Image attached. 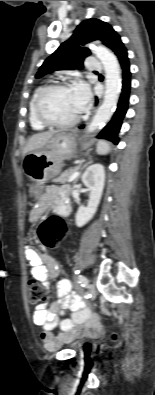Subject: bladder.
<instances>
[{
    "instance_id": "31cf9c89",
    "label": "bladder",
    "mask_w": 155,
    "mask_h": 395,
    "mask_svg": "<svg viewBox=\"0 0 155 395\" xmlns=\"http://www.w3.org/2000/svg\"><path fill=\"white\" fill-rule=\"evenodd\" d=\"M67 347L75 351L90 352L94 348V341L90 338L79 339L70 342Z\"/></svg>"
}]
</instances>
